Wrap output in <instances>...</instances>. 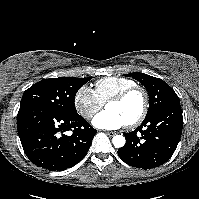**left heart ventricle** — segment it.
<instances>
[{
	"instance_id": "1",
	"label": "left heart ventricle",
	"mask_w": 199,
	"mask_h": 199,
	"mask_svg": "<svg viewBox=\"0 0 199 199\" xmlns=\"http://www.w3.org/2000/svg\"><path fill=\"white\" fill-rule=\"evenodd\" d=\"M142 105V94L140 92H134L122 102L108 104L107 110L118 113L124 121L128 123L139 115Z\"/></svg>"
}]
</instances>
